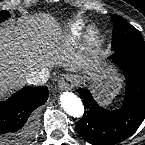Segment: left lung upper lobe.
Masks as SVG:
<instances>
[{
  "label": "left lung upper lobe",
  "instance_id": "1",
  "mask_svg": "<svg viewBox=\"0 0 145 145\" xmlns=\"http://www.w3.org/2000/svg\"><path fill=\"white\" fill-rule=\"evenodd\" d=\"M111 18L114 23L112 48H126L145 53V42L140 32L119 15L112 14Z\"/></svg>",
  "mask_w": 145,
  "mask_h": 145
}]
</instances>
